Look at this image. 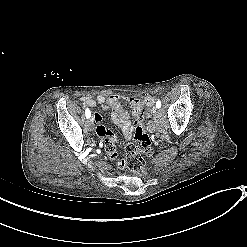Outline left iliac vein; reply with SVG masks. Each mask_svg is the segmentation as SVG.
Here are the masks:
<instances>
[{"mask_svg": "<svg viewBox=\"0 0 247 247\" xmlns=\"http://www.w3.org/2000/svg\"><path fill=\"white\" fill-rule=\"evenodd\" d=\"M156 110H157L156 107H153L152 113H153V114H156Z\"/></svg>", "mask_w": 247, "mask_h": 247, "instance_id": "1", "label": "left iliac vein"}]
</instances>
